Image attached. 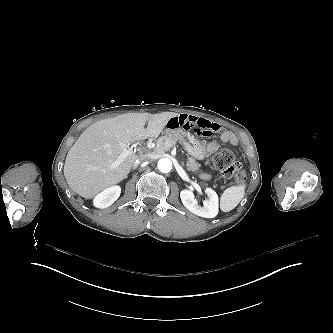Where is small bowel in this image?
<instances>
[{"instance_id":"1","label":"small bowel","mask_w":333,"mask_h":333,"mask_svg":"<svg viewBox=\"0 0 333 333\" xmlns=\"http://www.w3.org/2000/svg\"><path fill=\"white\" fill-rule=\"evenodd\" d=\"M169 129H185L192 130L199 135L209 136V135H218L221 133V141L230 143L231 145L237 147L239 144L237 136L228 131H223L222 126L216 123L210 122L206 119L188 115V114H179L169 119L167 123ZM218 149V144L215 142L209 143L206 146V150L209 153H212Z\"/></svg>"}]
</instances>
